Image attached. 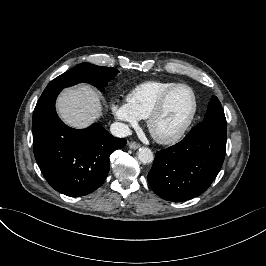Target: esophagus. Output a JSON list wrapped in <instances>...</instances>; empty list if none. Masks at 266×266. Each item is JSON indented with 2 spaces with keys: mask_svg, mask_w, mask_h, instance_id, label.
<instances>
[{
  "mask_svg": "<svg viewBox=\"0 0 266 266\" xmlns=\"http://www.w3.org/2000/svg\"><path fill=\"white\" fill-rule=\"evenodd\" d=\"M129 148L131 149H138L140 147V144L136 143V142H129Z\"/></svg>",
  "mask_w": 266,
  "mask_h": 266,
  "instance_id": "obj_1",
  "label": "esophagus"
}]
</instances>
